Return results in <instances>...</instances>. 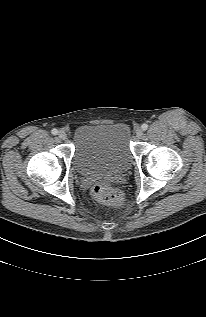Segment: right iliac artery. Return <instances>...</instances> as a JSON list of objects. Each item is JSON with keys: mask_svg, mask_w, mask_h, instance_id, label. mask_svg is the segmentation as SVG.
Here are the masks:
<instances>
[{"mask_svg": "<svg viewBox=\"0 0 206 317\" xmlns=\"http://www.w3.org/2000/svg\"><path fill=\"white\" fill-rule=\"evenodd\" d=\"M51 133H52L53 135H57L58 130H57V129H52Z\"/></svg>", "mask_w": 206, "mask_h": 317, "instance_id": "obj_1", "label": "right iliac artery"}]
</instances>
